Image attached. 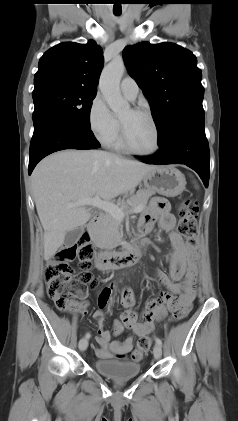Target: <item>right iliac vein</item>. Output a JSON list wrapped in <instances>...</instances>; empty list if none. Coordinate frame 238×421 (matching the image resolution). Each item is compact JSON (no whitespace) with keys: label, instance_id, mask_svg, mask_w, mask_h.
<instances>
[{"label":"right iliac vein","instance_id":"obj_1","mask_svg":"<svg viewBox=\"0 0 238 421\" xmlns=\"http://www.w3.org/2000/svg\"><path fill=\"white\" fill-rule=\"evenodd\" d=\"M78 346L81 351H85L88 347V339L87 338L80 339Z\"/></svg>","mask_w":238,"mask_h":421}]
</instances>
